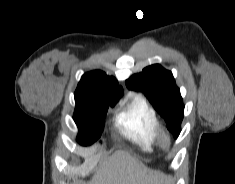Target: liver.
I'll return each instance as SVG.
<instances>
[{
	"mask_svg": "<svg viewBox=\"0 0 235 184\" xmlns=\"http://www.w3.org/2000/svg\"><path fill=\"white\" fill-rule=\"evenodd\" d=\"M160 178L159 172L149 170L129 152L117 150L103 160L93 180L94 184H161Z\"/></svg>",
	"mask_w": 235,
	"mask_h": 184,
	"instance_id": "6515ba94",
	"label": "liver"
}]
</instances>
